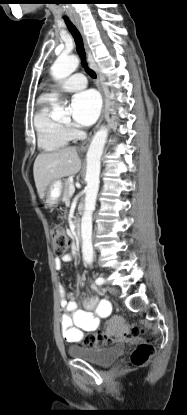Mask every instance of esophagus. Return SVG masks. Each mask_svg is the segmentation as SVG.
Returning <instances> with one entry per match:
<instances>
[{
	"mask_svg": "<svg viewBox=\"0 0 187 415\" xmlns=\"http://www.w3.org/2000/svg\"><path fill=\"white\" fill-rule=\"evenodd\" d=\"M74 23H75V25H76L77 29L79 30L80 34L82 35V38H83V41H84V46H85L86 52H87V54H89V49H88V45H87V41H86V37H85V35H84V32H83L82 26H81V24H80L79 20H77V19H76V20H74ZM98 77H100V78H101V75H100L99 73H98ZM100 90H101V92H102V94H103V107H102L101 115H100V118H99L98 123L96 124L95 128H94V129H93V131L91 132V134H90L89 138L81 144V147H80V148H81V150H85V149L88 147L89 142H90V140H91V138H92L93 134H94V133H95V131L99 128V126L101 125V123H102V121H103V118H104L105 109H106V95H105V90H104L103 88H101V87H100Z\"/></svg>",
	"mask_w": 187,
	"mask_h": 415,
	"instance_id": "esophagus-1",
	"label": "esophagus"
}]
</instances>
